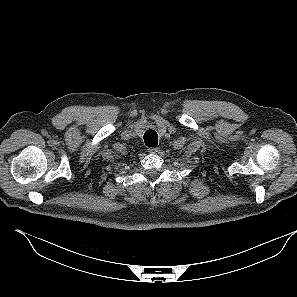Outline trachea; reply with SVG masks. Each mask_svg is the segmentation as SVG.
<instances>
[{"instance_id":"1","label":"trachea","mask_w":297,"mask_h":297,"mask_svg":"<svg viewBox=\"0 0 297 297\" xmlns=\"http://www.w3.org/2000/svg\"><path fill=\"white\" fill-rule=\"evenodd\" d=\"M144 142L148 147H155L158 145V135L154 130H147L144 134Z\"/></svg>"}]
</instances>
